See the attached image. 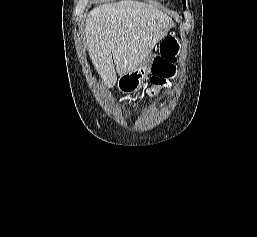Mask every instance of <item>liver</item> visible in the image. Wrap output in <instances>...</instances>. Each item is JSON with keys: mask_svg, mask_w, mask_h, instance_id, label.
Here are the masks:
<instances>
[{"mask_svg": "<svg viewBox=\"0 0 257 237\" xmlns=\"http://www.w3.org/2000/svg\"><path fill=\"white\" fill-rule=\"evenodd\" d=\"M173 25L163 11L133 0L94 8L86 19L85 39L106 87L116 84V71L122 76L137 69Z\"/></svg>", "mask_w": 257, "mask_h": 237, "instance_id": "liver-1", "label": "liver"}]
</instances>
